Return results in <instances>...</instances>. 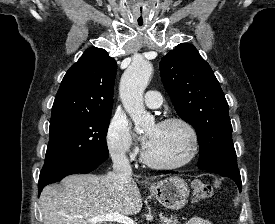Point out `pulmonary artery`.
I'll return each mask as SVG.
<instances>
[{
	"label": "pulmonary artery",
	"mask_w": 275,
	"mask_h": 224,
	"mask_svg": "<svg viewBox=\"0 0 275 224\" xmlns=\"http://www.w3.org/2000/svg\"><path fill=\"white\" fill-rule=\"evenodd\" d=\"M145 104L150 108H157L161 104V95L157 91L149 90L145 96Z\"/></svg>",
	"instance_id": "1"
}]
</instances>
